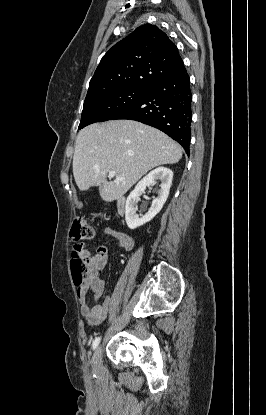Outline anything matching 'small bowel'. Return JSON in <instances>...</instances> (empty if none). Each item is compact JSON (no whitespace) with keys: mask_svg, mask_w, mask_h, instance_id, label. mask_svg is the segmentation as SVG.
Listing matches in <instances>:
<instances>
[{"mask_svg":"<svg viewBox=\"0 0 266 415\" xmlns=\"http://www.w3.org/2000/svg\"><path fill=\"white\" fill-rule=\"evenodd\" d=\"M103 235L116 242L125 251H131L134 241L131 236L124 232L107 227L103 230ZM77 245H74L75 248ZM86 261L90 268L88 277L77 288V296L80 302L81 314L89 325H99L105 320L111 307L112 298L106 296L99 303L98 299L105 289V283L100 277V271L108 262V251L104 245L99 246L95 251L86 252ZM94 294L95 302L90 305L87 301L88 292Z\"/></svg>","mask_w":266,"mask_h":415,"instance_id":"c3829d8e","label":"small bowel"}]
</instances>
